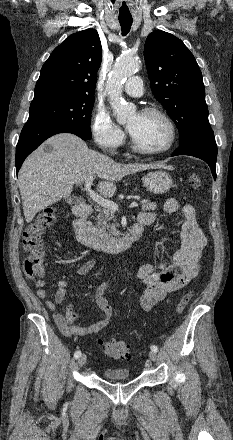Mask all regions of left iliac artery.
<instances>
[{"instance_id":"obj_1","label":"left iliac artery","mask_w":233,"mask_h":440,"mask_svg":"<svg viewBox=\"0 0 233 440\" xmlns=\"http://www.w3.org/2000/svg\"><path fill=\"white\" fill-rule=\"evenodd\" d=\"M151 350L154 351V352H157L158 351V347L156 345H152L151 346Z\"/></svg>"}]
</instances>
